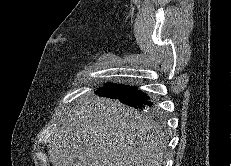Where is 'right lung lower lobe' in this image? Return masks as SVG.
Instances as JSON below:
<instances>
[{
    "label": "right lung lower lobe",
    "mask_w": 231,
    "mask_h": 166,
    "mask_svg": "<svg viewBox=\"0 0 231 166\" xmlns=\"http://www.w3.org/2000/svg\"><path fill=\"white\" fill-rule=\"evenodd\" d=\"M96 93L99 96L118 99L120 102L139 110H153L155 108L150 97L143 91L138 90L137 87L106 83L103 87L98 88Z\"/></svg>",
    "instance_id": "right-lung-lower-lobe-1"
}]
</instances>
